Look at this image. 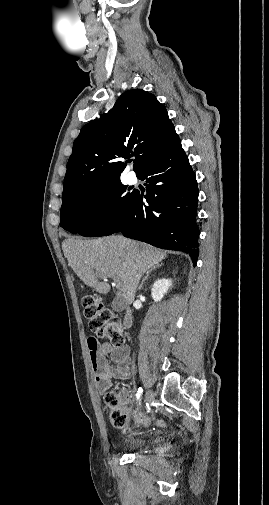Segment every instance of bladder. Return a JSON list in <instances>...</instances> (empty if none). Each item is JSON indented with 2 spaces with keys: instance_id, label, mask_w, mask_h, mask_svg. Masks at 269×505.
I'll return each mask as SVG.
<instances>
[{
  "instance_id": "31cf9c89",
  "label": "bladder",
  "mask_w": 269,
  "mask_h": 505,
  "mask_svg": "<svg viewBox=\"0 0 269 505\" xmlns=\"http://www.w3.org/2000/svg\"><path fill=\"white\" fill-rule=\"evenodd\" d=\"M146 443H147L146 439L140 438V439H135V440L128 442L126 447L129 450H137V449L143 447Z\"/></svg>"
}]
</instances>
